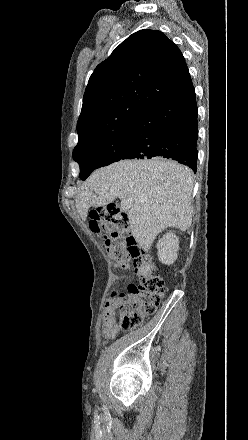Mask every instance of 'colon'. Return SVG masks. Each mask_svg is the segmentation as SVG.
I'll list each match as a JSON object with an SVG mask.
<instances>
[{
    "instance_id": "obj_1",
    "label": "colon",
    "mask_w": 248,
    "mask_h": 440,
    "mask_svg": "<svg viewBox=\"0 0 248 440\" xmlns=\"http://www.w3.org/2000/svg\"><path fill=\"white\" fill-rule=\"evenodd\" d=\"M90 218L91 228L103 234L115 264L125 268L132 260L138 270V283L129 285L126 291L114 290L111 299L120 312L122 329H134L155 313L165 291L164 280L152 270L141 269L145 262L144 252L131 235L128 215L119 206L109 204L96 209Z\"/></svg>"
}]
</instances>
